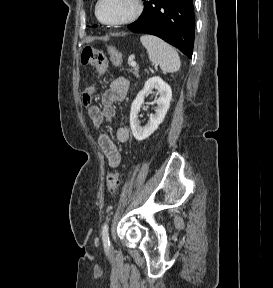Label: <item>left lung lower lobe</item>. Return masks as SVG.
Instances as JSON below:
<instances>
[{
  "mask_svg": "<svg viewBox=\"0 0 273 288\" xmlns=\"http://www.w3.org/2000/svg\"><path fill=\"white\" fill-rule=\"evenodd\" d=\"M194 20L193 0H145L143 13L128 28L156 35L191 58Z\"/></svg>",
  "mask_w": 273,
  "mask_h": 288,
  "instance_id": "1",
  "label": "left lung lower lobe"
}]
</instances>
